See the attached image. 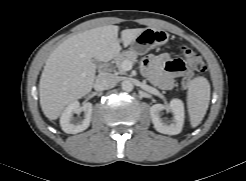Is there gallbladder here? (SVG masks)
Wrapping results in <instances>:
<instances>
[{"label":"gallbladder","instance_id":"gallbladder-1","mask_svg":"<svg viewBox=\"0 0 246 181\" xmlns=\"http://www.w3.org/2000/svg\"><path fill=\"white\" fill-rule=\"evenodd\" d=\"M93 62H94V64H96V65H98V64H99V61H98V60H96V59H93Z\"/></svg>","mask_w":246,"mask_h":181}]
</instances>
